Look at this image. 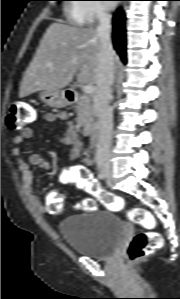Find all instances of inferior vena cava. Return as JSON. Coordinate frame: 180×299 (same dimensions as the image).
I'll list each match as a JSON object with an SVG mask.
<instances>
[{"label":"inferior vena cava","instance_id":"obj_1","mask_svg":"<svg viewBox=\"0 0 180 299\" xmlns=\"http://www.w3.org/2000/svg\"><path fill=\"white\" fill-rule=\"evenodd\" d=\"M99 25L97 34L101 39L102 49L98 58L96 91L93 108L98 118V142L96 155L98 159L108 158L110 154L111 134L113 128V111L109 105L111 86L114 80V54L110 34L111 15L104 9L97 13Z\"/></svg>","mask_w":180,"mask_h":299}]
</instances>
